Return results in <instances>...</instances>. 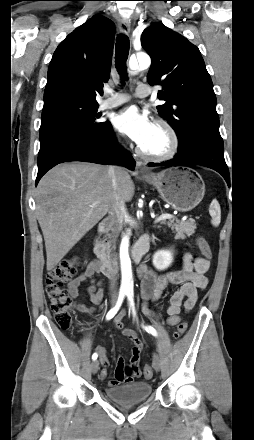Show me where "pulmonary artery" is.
Returning <instances> with one entry per match:
<instances>
[{
    "label": "pulmonary artery",
    "mask_w": 254,
    "mask_h": 440,
    "mask_svg": "<svg viewBox=\"0 0 254 440\" xmlns=\"http://www.w3.org/2000/svg\"><path fill=\"white\" fill-rule=\"evenodd\" d=\"M135 94L139 98L149 96L151 94V88L146 84H140L137 86L135 90ZM129 99H130L129 95L125 93H117L114 94L112 97H109L101 101L100 108L101 109L114 108L126 103L127 101H129Z\"/></svg>",
    "instance_id": "obj_1"
}]
</instances>
